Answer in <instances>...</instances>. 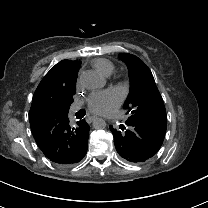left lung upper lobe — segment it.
Instances as JSON below:
<instances>
[{"label":"left lung upper lobe","mask_w":208,"mask_h":208,"mask_svg":"<svg viewBox=\"0 0 208 208\" xmlns=\"http://www.w3.org/2000/svg\"><path fill=\"white\" fill-rule=\"evenodd\" d=\"M119 58L129 69L130 92L124 104L128 120L165 134L166 110L150 69L135 55L121 53Z\"/></svg>","instance_id":"1"}]
</instances>
